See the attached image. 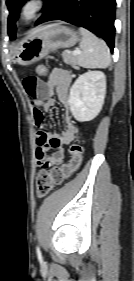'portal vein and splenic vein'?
I'll list each match as a JSON object with an SVG mask.
<instances>
[{
	"label": "portal vein and splenic vein",
	"instance_id": "1",
	"mask_svg": "<svg viewBox=\"0 0 134 281\" xmlns=\"http://www.w3.org/2000/svg\"><path fill=\"white\" fill-rule=\"evenodd\" d=\"M72 53H73V55H79V54H81V51L79 49H76Z\"/></svg>",
	"mask_w": 134,
	"mask_h": 281
}]
</instances>
